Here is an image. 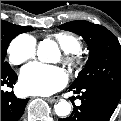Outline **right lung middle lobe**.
I'll use <instances>...</instances> for the list:
<instances>
[{"mask_svg": "<svg viewBox=\"0 0 121 121\" xmlns=\"http://www.w3.org/2000/svg\"><path fill=\"white\" fill-rule=\"evenodd\" d=\"M31 29L32 27L17 26L1 20V68H10V65L4 62V58L11 40L18 34L30 31Z\"/></svg>", "mask_w": 121, "mask_h": 121, "instance_id": "right-lung-middle-lobe-1", "label": "right lung middle lobe"}]
</instances>
